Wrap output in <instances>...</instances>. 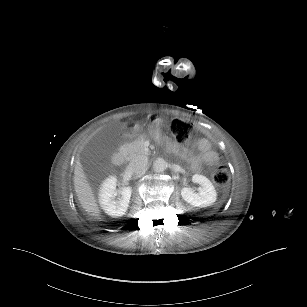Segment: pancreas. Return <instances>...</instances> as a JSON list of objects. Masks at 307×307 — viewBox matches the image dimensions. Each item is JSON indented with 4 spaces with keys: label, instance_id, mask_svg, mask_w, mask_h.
Wrapping results in <instances>:
<instances>
[{
    "label": "pancreas",
    "instance_id": "1",
    "mask_svg": "<svg viewBox=\"0 0 307 307\" xmlns=\"http://www.w3.org/2000/svg\"><path fill=\"white\" fill-rule=\"evenodd\" d=\"M144 137L140 136L134 140L133 145L135 147V153H144Z\"/></svg>",
    "mask_w": 307,
    "mask_h": 307
}]
</instances>
